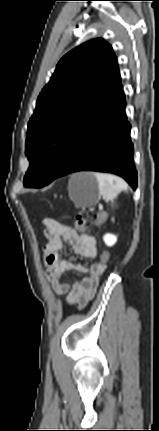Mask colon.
<instances>
[{
    "label": "colon",
    "mask_w": 159,
    "mask_h": 431,
    "mask_svg": "<svg viewBox=\"0 0 159 431\" xmlns=\"http://www.w3.org/2000/svg\"><path fill=\"white\" fill-rule=\"evenodd\" d=\"M100 216L98 214L94 215L92 218L88 219H76V227L80 231H86L90 229L92 226H95L99 223ZM100 259H104L106 262H109L112 259L111 251L105 249L103 254L100 255Z\"/></svg>",
    "instance_id": "5ec220e1"
}]
</instances>
